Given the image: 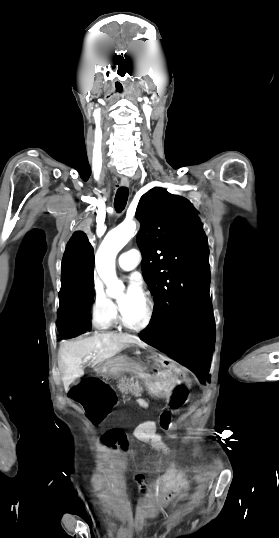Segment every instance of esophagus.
<instances>
[{"instance_id": "esophagus-1", "label": "esophagus", "mask_w": 279, "mask_h": 538, "mask_svg": "<svg viewBox=\"0 0 279 538\" xmlns=\"http://www.w3.org/2000/svg\"><path fill=\"white\" fill-rule=\"evenodd\" d=\"M121 185H122L123 187H128V186H129V180H128L126 177H123V178L121 179Z\"/></svg>"}]
</instances>
